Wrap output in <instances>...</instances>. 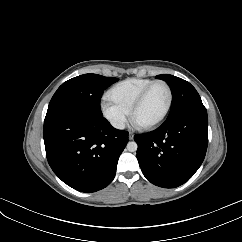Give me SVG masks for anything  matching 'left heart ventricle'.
<instances>
[{
    "instance_id": "obj_1",
    "label": "left heart ventricle",
    "mask_w": 242,
    "mask_h": 242,
    "mask_svg": "<svg viewBox=\"0 0 242 242\" xmlns=\"http://www.w3.org/2000/svg\"><path fill=\"white\" fill-rule=\"evenodd\" d=\"M167 102L168 91L166 87L162 84L154 86L136 112V123L148 124L157 120L165 110Z\"/></svg>"
}]
</instances>
